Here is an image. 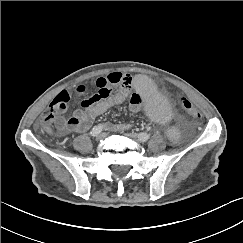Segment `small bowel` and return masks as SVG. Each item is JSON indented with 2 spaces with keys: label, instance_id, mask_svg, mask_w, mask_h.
I'll use <instances>...</instances> for the list:
<instances>
[{
  "label": "small bowel",
  "instance_id": "1",
  "mask_svg": "<svg viewBox=\"0 0 243 243\" xmlns=\"http://www.w3.org/2000/svg\"><path fill=\"white\" fill-rule=\"evenodd\" d=\"M133 78L128 74L110 73L106 76H101L96 79L95 87L97 89L91 97L84 99L81 102L80 109L76 110L69 119H65L58 113L55 124L60 134L69 132H85L92 123L109 109L122 104L130 94ZM114 88L117 91L114 92ZM87 84L78 85L74 93L75 95H84L88 92ZM141 98L133 93L131 96L130 110L136 113L140 109ZM121 130L129 128V125H121L118 127Z\"/></svg>",
  "mask_w": 243,
  "mask_h": 243
}]
</instances>
